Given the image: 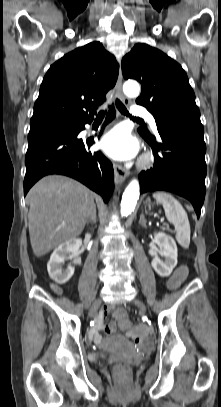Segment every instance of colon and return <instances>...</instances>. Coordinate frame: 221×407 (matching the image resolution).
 Masks as SVG:
<instances>
[{
  "instance_id": "obj_1",
  "label": "colon",
  "mask_w": 221,
  "mask_h": 407,
  "mask_svg": "<svg viewBox=\"0 0 221 407\" xmlns=\"http://www.w3.org/2000/svg\"><path fill=\"white\" fill-rule=\"evenodd\" d=\"M190 268L188 265H177L173 271V275L169 276V282L166 285L168 291H177L180 284H186L187 274ZM60 292V291H56ZM128 311L124 306L117 307L116 324L119 330H128L132 328V321L127 317ZM145 336V331L142 328L131 330L130 337L132 340L138 342ZM114 375L120 385L128 383L130 378V369L126 365L117 364L114 367Z\"/></svg>"
}]
</instances>
